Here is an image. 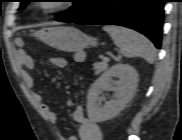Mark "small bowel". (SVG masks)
Returning <instances> with one entry per match:
<instances>
[{
	"label": "small bowel",
	"instance_id": "small-bowel-1",
	"mask_svg": "<svg viewBox=\"0 0 182 140\" xmlns=\"http://www.w3.org/2000/svg\"><path fill=\"white\" fill-rule=\"evenodd\" d=\"M16 61L22 71L26 86L32 88L34 86V78L29 73V70H32L35 67L34 59L20 49L16 53ZM49 63L56 67L64 68L67 66L68 62L64 57H52L49 58ZM32 96L34 101L39 105L41 113L46 120L49 123L54 124L57 116L51 109V106L43 101L40 93L34 92ZM72 117L77 126V136H72L69 140H77V138H79V140H102V133L99 125L85 115L84 109L81 105L75 107Z\"/></svg>",
	"mask_w": 182,
	"mask_h": 140
}]
</instances>
